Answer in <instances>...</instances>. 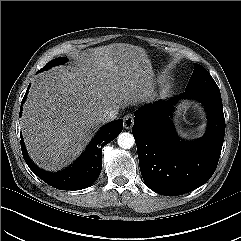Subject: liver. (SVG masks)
I'll return each instance as SVG.
<instances>
[{"label":"liver","mask_w":241,"mask_h":241,"mask_svg":"<svg viewBox=\"0 0 241 241\" xmlns=\"http://www.w3.org/2000/svg\"><path fill=\"white\" fill-rule=\"evenodd\" d=\"M154 76L146 51L125 43L91 49L71 71L38 74L21 118L29 156L47 171L67 166L99 129L104 112L154 100Z\"/></svg>","instance_id":"liver-1"}]
</instances>
